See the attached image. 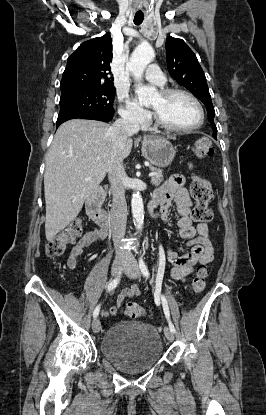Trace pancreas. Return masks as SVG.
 Here are the masks:
<instances>
[{
    "label": "pancreas",
    "instance_id": "cf45deb5",
    "mask_svg": "<svg viewBox=\"0 0 266 415\" xmlns=\"http://www.w3.org/2000/svg\"><path fill=\"white\" fill-rule=\"evenodd\" d=\"M150 170L155 172L156 175L151 177V184L154 186H159L163 181V173L162 170L157 169L155 167L150 166Z\"/></svg>",
    "mask_w": 266,
    "mask_h": 415
}]
</instances>
